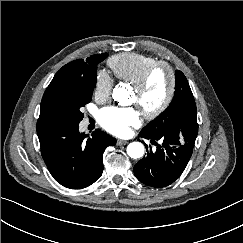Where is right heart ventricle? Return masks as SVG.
Returning a JSON list of instances; mask_svg holds the SVG:
<instances>
[{
	"label": "right heart ventricle",
	"instance_id": "obj_1",
	"mask_svg": "<svg viewBox=\"0 0 243 243\" xmlns=\"http://www.w3.org/2000/svg\"><path fill=\"white\" fill-rule=\"evenodd\" d=\"M155 61L154 57L148 55L121 53L112 56L107 64L116 79L132 83L147 66Z\"/></svg>",
	"mask_w": 243,
	"mask_h": 243
}]
</instances>
